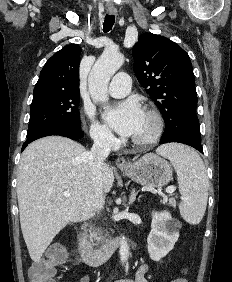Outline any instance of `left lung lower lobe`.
Segmentation results:
<instances>
[{
  "instance_id": "left-lung-lower-lobe-1",
  "label": "left lung lower lobe",
  "mask_w": 232,
  "mask_h": 282,
  "mask_svg": "<svg viewBox=\"0 0 232 282\" xmlns=\"http://www.w3.org/2000/svg\"><path fill=\"white\" fill-rule=\"evenodd\" d=\"M166 128L163 133L160 144L169 142H178L187 144L202 152L201 135L199 120L197 117H190L186 114H180L175 123H165Z\"/></svg>"
}]
</instances>
